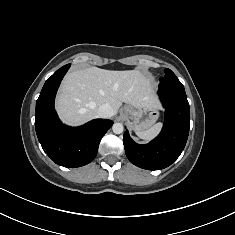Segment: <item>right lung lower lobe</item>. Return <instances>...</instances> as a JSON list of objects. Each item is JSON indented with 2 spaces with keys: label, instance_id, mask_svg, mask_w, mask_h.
Instances as JSON below:
<instances>
[{
  "label": "right lung lower lobe",
  "instance_id": "right-lung-lower-lobe-1",
  "mask_svg": "<svg viewBox=\"0 0 235 235\" xmlns=\"http://www.w3.org/2000/svg\"><path fill=\"white\" fill-rule=\"evenodd\" d=\"M69 67L70 64L61 67L45 82L36 102L35 129L50 159L58 165L74 168L93 161L102 137L113 123L105 119H95L80 127L61 123L54 109V99Z\"/></svg>",
  "mask_w": 235,
  "mask_h": 235
}]
</instances>
